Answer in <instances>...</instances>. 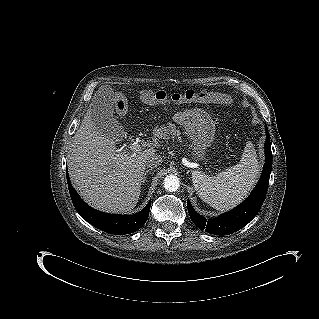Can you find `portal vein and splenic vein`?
Wrapping results in <instances>:
<instances>
[{
    "label": "portal vein and splenic vein",
    "instance_id": "1",
    "mask_svg": "<svg viewBox=\"0 0 319 319\" xmlns=\"http://www.w3.org/2000/svg\"><path fill=\"white\" fill-rule=\"evenodd\" d=\"M128 147L134 152H139L142 149V146L136 142L129 144Z\"/></svg>",
    "mask_w": 319,
    "mask_h": 319
}]
</instances>
